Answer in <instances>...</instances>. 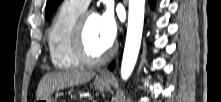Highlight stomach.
I'll list each match as a JSON object with an SVG mask.
<instances>
[{
  "instance_id": "1",
  "label": "stomach",
  "mask_w": 221,
  "mask_h": 102,
  "mask_svg": "<svg viewBox=\"0 0 221 102\" xmlns=\"http://www.w3.org/2000/svg\"><path fill=\"white\" fill-rule=\"evenodd\" d=\"M111 84L112 81L110 79H106L103 77H97L93 83L94 88L101 92L109 91ZM38 102H56V101L52 100L51 98H46V99H40L38 100Z\"/></svg>"
}]
</instances>
